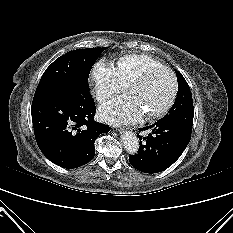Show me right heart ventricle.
Returning a JSON list of instances; mask_svg holds the SVG:
<instances>
[{
    "mask_svg": "<svg viewBox=\"0 0 233 233\" xmlns=\"http://www.w3.org/2000/svg\"><path fill=\"white\" fill-rule=\"evenodd\" d=\"M162 64L152 58L151 56L144 54L127 55L120 58L117 62V70L120 74L122 81L128 85L136 76L142 73L144 70L161 66Z\"/></svg>",
    "mask_w": 233,
    "mask_h": 233,
    "instance_id": "obj_1",
    "label": "right heart ventricle"
}]
</instances>
